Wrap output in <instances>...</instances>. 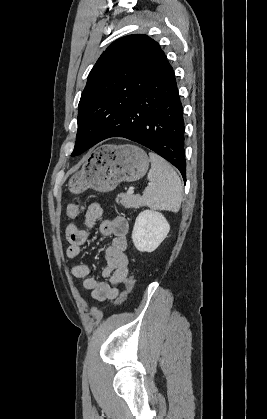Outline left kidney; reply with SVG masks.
<instances>
[{
	"label": "left kidney",
	"mask_w": 267,
	"mask_h": 419,
	"mask_svg": "<svg viewBox=\"0 0 267 419\" xmlns=\"http://www.w3.org/2000/svg\"><path fill=\"white\" fill-rule=\"evenodd\" d=\"M170 225L164 215L155 210H144L136 218L132 240L140 252H153L169 233Z\"/></svg>",
	"instance_id": "5707ae66"
}]
</instances>
